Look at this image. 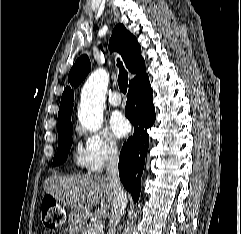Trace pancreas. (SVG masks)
<instances>
[{"instance_id":"1","label":"pancreas","mask_w":241,"mask_h":234,"mask_svg":"<svg viewBox=\"0 0 241 234\" xmlns=\"http://www.w3.org/2000/svg\"><path fill=\"white\" fill-rule=\"evenodd\" d=\"M82 234H102V232L95 229L93 224H88L82 228Z\"/></svg>"}]
</instances>
